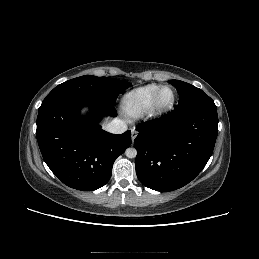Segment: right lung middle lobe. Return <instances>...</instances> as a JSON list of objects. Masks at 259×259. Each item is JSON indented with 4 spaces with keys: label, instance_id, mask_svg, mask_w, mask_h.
<instances>
[{
    "label": "right lung middle lobe",
    "instance_id": "dd1d6c3e",
    "mask_svg": "<svg viewBox=\"0 0 259 259\" xmlns=\"http://www.w3.org/2000/svg\"><path fill=\"white\" fill-rule=\"evenodd\" d=\"M130 85L131 83L122 80L85 75L59 84L46 96L42 104L61 96L73 95L114 106L118 95Z\"/></svg>",
    "mask_w": 259,
    "mask_h": 259
}]
</instances>
